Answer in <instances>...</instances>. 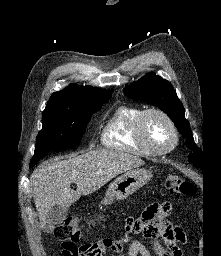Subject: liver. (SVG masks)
<instances>
[{
  "label": "liver",
  "instance_id": "liver-1",
  "mask_svg": "<svg viewBox=\"0 0 221 256\" xmlns=\"http://www.w3.org/2000/svg\"><path fill=\"white\" fill-rule=\"evenodd\" d=\"M142 165L144 161L139 157L113 149L90 151L39 165L31 175V184L40 227L46 225L53 206L68 208L81 195H89L117 175ZM71 183L77 185L76 190L71 189Z\"/></svg>",
  "mask_w": 221,
  "mask_h": 256
}]
</instances>
